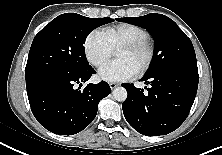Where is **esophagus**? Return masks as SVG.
Here are the masks:
<instances>
[{"label":"esophagus","mask_w":222,"mask_h":155,"mask_svg":"<svg viewBox=\"0 0 222 155\" xmlns=\"http://www.w3.org/2000/svg\"><path fill=\"white\" fill-rule=\"evenodd\" d=\"M109 86H110L111 89H115V88L118 86V84H117V83H114V82H111V83L109 84Z\"/></svg>","instance_id":"1"}]
</instances>
